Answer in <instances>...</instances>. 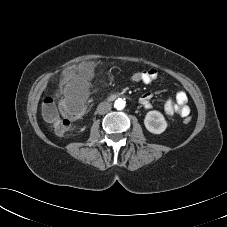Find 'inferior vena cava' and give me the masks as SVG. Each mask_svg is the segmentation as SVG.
<instances>
[{"label": "inferior vena cava", "instance_id": "602c4592", "mask_svg": "<svg viewBox=\"0 0 227 227\" xmlns=\"http://www.w3.org/2000/svg\"><path fill=\"white\" fill-rule=\"evenodd\" d=\"M112 108V105L108 102H101L97 107V113L100 115L106 114Z\"/></svg>", "mask_w": 227, "mask_h": 227}]
</instances>
